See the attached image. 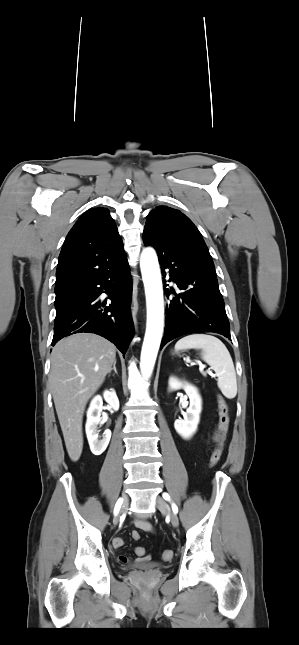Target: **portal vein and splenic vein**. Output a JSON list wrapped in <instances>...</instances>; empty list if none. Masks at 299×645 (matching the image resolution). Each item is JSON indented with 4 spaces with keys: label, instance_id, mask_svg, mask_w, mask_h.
I'll return each mask as SVG.
<instances>
[{
    "label": "portal vein and splenic vein",
    "instance_id": "obj_1",
    "mask_svg": "<svg viewBox=\"0 0 299 645\" xmlns=\"http://www.w3.org/2000/svg\"><path fill=\"white\" fill-rule=\"evenodd\" d=\"M204 368H205V366H204V365H203V366H200V370H201V371H203V369H204Z\"/></svg>",
    "mask_w": 299,
    "mask_h": 645
}]
</instances>
